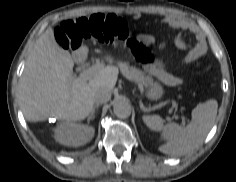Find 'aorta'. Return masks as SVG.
Here are the masks:
<instances>
[{
	"label": "aorta",
	"mask_w": 236,
	"mask_h": 182,
	"mask_svg": "<svg viewBox=\"0 0 236 182\" xmlns=\"http://www.w3.org/2000/svg\"><path fill=\"white\" fill-rule=\"evenodd\" d=\"M114 113L117 117L125 119L131 115V105L126 100H118L113 106Z\"/></svg>",
	"instance_id": "762f6f07"
}]
</instances>
